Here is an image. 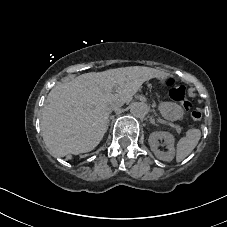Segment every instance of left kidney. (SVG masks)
<instances>
[{
	"label": "left kidney",
	"mask_w": 227,
	"mask_h": 227,
	"mask_svg": "<svg viewBox=\"0 0 227 227\" xmlns=\"http://www.w3.org/2000/svg\"><path fill=\"white\" fill-rule=\"evenodd\" d=\"M158 140L164 142L166 151L161 152L158 149ZM150 150L154 153L157 159L161 161H170L174 157V137L167 132H153L149 137Z\"/></svg>",
	"instance_id": "left-kidney-1"
}]
</instances>
